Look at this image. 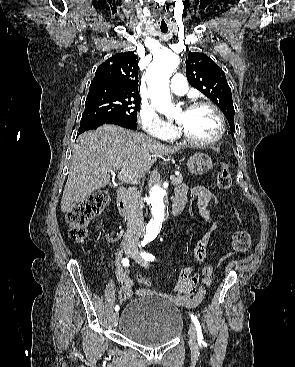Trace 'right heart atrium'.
<instances>
[{"label":"right heart atrium","mask_w":295,"mask_h":367,"mask_svg":"<svg viewBox=\"0 0 295 367\" xmlns=\"http://www.w3.org/2000/svg\"><path fill=\"white\" fill-rule=\"evenodd\" d=\"M138 120L142 129L151 136L169 139L175 134L174 127L165 122L150 105H142L140 107Z\"/></svg>","instance_id":"right-heart-atrium-1"}]
</instances>
